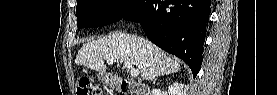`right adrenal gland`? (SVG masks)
<instances>
[{"mask_svg": "<svg viewBox=\"0 0 277 95\" xmlns=\"http://www.w3.org/2000/svg\"><path fill=\"white\" fill-rule=\"evenodd\" d=\"M156 80H157L156 78L153 80V84H155Z\"/></svg>", "mask_w": 277, "mask_h": 95, "instance_id": "2a0ac1e0", "label": "right adrenal gland"}]
</instances>
